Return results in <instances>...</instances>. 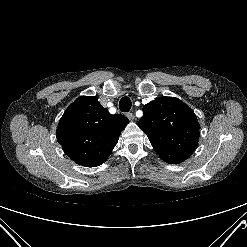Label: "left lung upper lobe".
<instances>
[{"label":"left lung upper lobe","instance_id":"obj_1","mask_svg":"<svg viewBox=\"0 0 247 247\" xmlns=\"http://www.w3.org/2000/svg\"><path fill=\"white\" fill-rule=\"evenodd\" d=\"M138 126L157 154L170 164L185 161L195 151L200 136L195 113L175 97H157L146 104Z\"/></svg>","mask_w":247,"mask_h":247}]
</instances>
